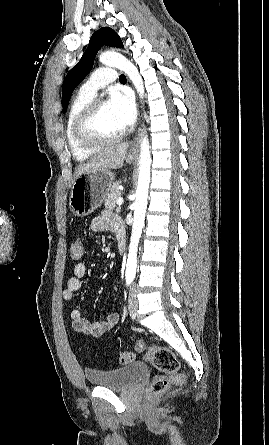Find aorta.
Wrapping results in <instances>:
<instances>
[{
    "mask_svg": "<svg viewBox=\"0 0 269 445\" xmlns=\"http://www.w3.org/2000/svg\"><path fill=\"white\" fill-rule=\"evenodd\" d=\"M99 60L106 66L116 67L125 72L133 85L135 86L139 96L144 95V85L141 75L137 67L121 54L114 52H104L100 55ZM150 167L151 154L150 145L145 130L143 131L140 144V161L138 184L136 189V200L134 207V221L132 226V234L129 245V252L126 264V276H135L137 268V249L144 226L145 213L148 202V191L150 185Z\"/></svg>",
    "mask_w": 269,
    "mask_h": 445,
    "instance_id": "1",
    "label": "aorta"
}]
</instances>
